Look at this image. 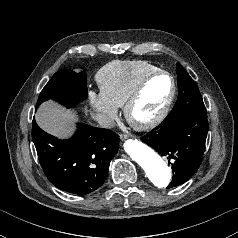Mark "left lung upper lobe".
<instances>
[{
	"label": "left lung upper lobe",
	"instance_id": "left-lung-upper-lobe-1",
	"mask_svg": "<svg viewBox=\"0 0 238 238\" xmlns=\"http://www.w3.org/2000/svg\"><path fill=\"white\" fill-rule=\"evenodd\" d=\"M178 99L170 114L179 112H206L203 99L195 81L183 66L177 63Z\"/></svg>",
	"mask_w": 238,
	"mask_h": 238
}]
</instances>
